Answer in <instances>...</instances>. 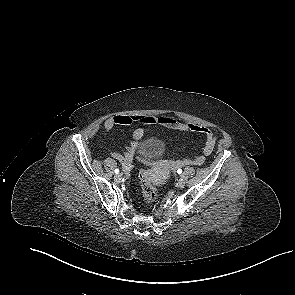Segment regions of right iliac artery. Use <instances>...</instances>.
I'll use <instances>...</instances> for the list:
<instances>
[{
    "mask_svg": "<svg viewBox=\"0 0 295 295\" xmlns=\"http://www.w3.org/2000/svg\"><path fill=\"white\" fill-rule=\"evenodd\" d=\"M115 173L118 174L119 173V169H115Z\"/></svg>",
    "mask_w": 295,
    "mask_h": 295,
    "instance_id": "right-iliac-artery-1",
    "label": "right iliac artery"
}]
</instances>
